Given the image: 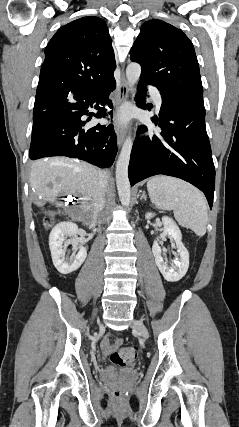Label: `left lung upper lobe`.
Here are the masks:
<instances>
[{"instance_id":"5c2ea615","label":"left lung upper lobe","mask_w":239,"mask_h":427,"mask_svg":"<svg viewBox=\"0 0 239 427\" xmlns=\"http://www.w3.org/2000/svg\"><path fill=\"white\" fill-rule=\"evenodd\" d=\"M130 55L142 67L141 81L204 106L194 47L180 29L157 19L145 22Z\"/></svg>"}]
</instances>
